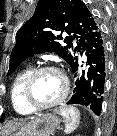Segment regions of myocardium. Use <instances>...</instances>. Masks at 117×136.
Listing matches in <instances>:
<instances>
[{"instance_id": "myocardium-1", "label": "myocardium", "mask_w": 117, "mask_h": 136, "mask_svg": "<svg viewBox=\"0 0 117 136\" xmlns=\"http://www.w3.org/2000/svg\"><path fill=\"white\" fill-rule=\"evenodd\" d=\"M43 72H54L58 74L63 81L64 88H63L61 95L56 100L48 104L39 105L35 103V101L33 100L32 89H33V84H34L35 79L38 77V75H40ZM69 91H70L69 80L67 76L60 69L54 66H41V67H38L32 70L31 73L29 74L25 82V85H24L23 98H24L25 103L28 105V107L32 109L33 111H44V110L51 109L61 104L66 99Z\"/></svg>"}]
</instances>
